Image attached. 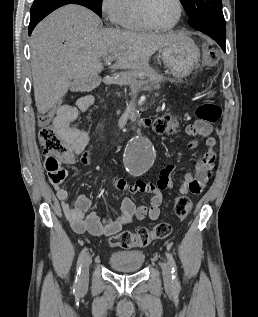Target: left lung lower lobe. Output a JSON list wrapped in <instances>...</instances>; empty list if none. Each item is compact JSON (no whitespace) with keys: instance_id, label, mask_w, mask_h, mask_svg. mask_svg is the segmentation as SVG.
Segmentation results:
<instances>
[{"instance_id":"left-lung-lower-lobe-1","label":"left lung lower lobe","mask_w":258,"mask_h":317,"mask_svg":"<svg viewBox=\"0 0 258 317\" xmlns=\"http://www.w3.org/2000/svg\"><path fill=\"white\" fill-rule=\"evenodd\" d=\"M201 32L206 33L210 37H212L220 46L221 48L226 51L225 49V42H226V28H200L197 29Z\"/></svg>"}]
</instances>
